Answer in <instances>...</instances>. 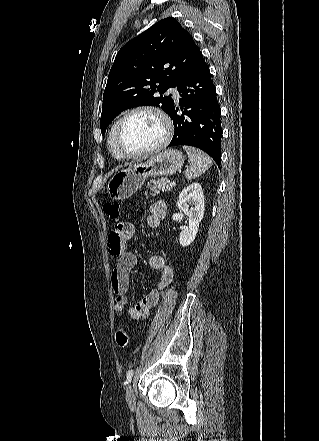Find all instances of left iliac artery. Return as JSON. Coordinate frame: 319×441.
I'll return each instance as SVG.
<instances>
[{"mask_svg": "<svg viewBox=\"0 0 319 441\" xmlns=\"http://www.w3.org/2000/svg\"><path fill=\"white\" fill-rule=\"evenodd\" d=\"M133 374H134V371L132 369L127 372V375H126V378H127L126 383L127 384L131 382Z\"/></svg>", "mask_w": 319, "mask_h": 441, "instance_id": "obj_1", "label": "left iliac artery"}]
</instances>
